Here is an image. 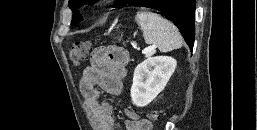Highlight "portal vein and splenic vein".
Instances as JSON below:
<instances>
[{
    "instance_id": "portal-vein-and-splenic-vein-1",
    "label": "portal vein and splenic vein",
    "mask_w": 257,
    "mask_h": 130,
    "mask_svg": "<svg viewBox=\"0 0 257 130\" xmlns=\"http://www.w3.org/2000/svg\"><path fill=\"white\" fill-rule=\"evenodd\" d=\"M150 51H151L150 48H145V49L142 51V53H143V54H148V53H150Z\"/></svg>"
}]
</instances>
